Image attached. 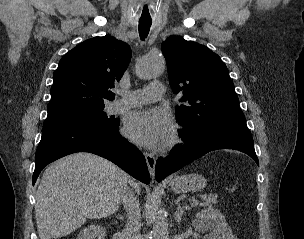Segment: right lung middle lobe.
I'll use <instances>...</instances> for the list:
<instances>
[{"mask_svg": "<svg viewBox=\"0 0 304 239\" xmlns=\"http://www.w3.org/2000/svg\"><path fill=\"white\" fill-rule=\"evenodd\" d=\"M103 109L104 106L59 116L47 117L43 124V129L67 126L108 128L117 124L119 120L108 118Z\"/></svg>", "mask_w": 304, "mask_h": 239, "instance_id": "obj_1", "label": "right lung middle lobe"}]
</instances>
